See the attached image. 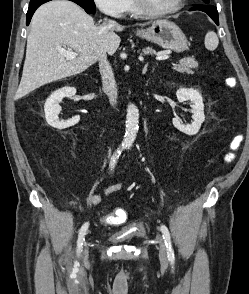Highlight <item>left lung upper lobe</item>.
I'll return each mask as SVG.
<instances>
[{
    "instance_id": "5c2ea615",
    "label": "left lung upper lobe",
    "mask_w": 249,
    "mask_h": 294,
    "mask_svg": "<svg viewBox=\"0 0 249 294\" xmlns=\"http://www.w3.org/2000/svg\"><path fill=\"white\" fill-rule=\"evenodd\" d=\"M204 3L209 4V0H202Z\"/></svg>"
}]
</instances>
